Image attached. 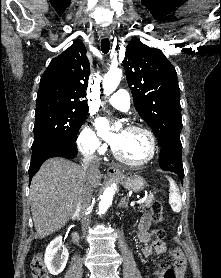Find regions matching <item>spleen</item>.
Here are the masks:
<instances>
[{
  "instance_id": "spleen-1",
  "label": "spleen",
  "mask_w": 221,
  "mask_h": 278,
  "mask_svg": "<svg viewBox=\"0 0 221 278\" xmlns=\"http://www.w3.org/2000/svg\"><path fill=\"white\" fill-rule=\"evenodd\" d=\"M170 184V193H169V203L172 210L175 213H179L181 211L182 203H181V196L177 184L172 178H168Z\"/></svg>"
}]
</instances>
